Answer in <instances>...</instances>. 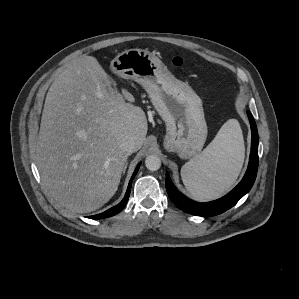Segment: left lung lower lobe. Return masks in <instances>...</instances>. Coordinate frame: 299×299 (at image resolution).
I'll return each instance as SVG.
<instances>
[{"mask_svg":"<svg viewBox=\"0 0 299 299\" xmlns=\"http://www.w3.org/2000/svg\"><path fill=\"white\" fill-rule=\"evenodd\" d=\"M251 125L252 140L251 153L248 169L241 182L224 197L206 203H198L179 192L170 180L169 174L166 173L167 193L176 206L190 214L199 216H215L233 207L252 187L254 184L258 168V131L252 114L247 111Z\"/></svg>","mask_w":299,"mask_h":299,"instance_id":"1","label":"left lung lower lobe"}]
</instances>
